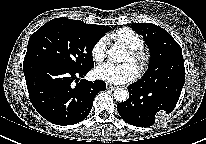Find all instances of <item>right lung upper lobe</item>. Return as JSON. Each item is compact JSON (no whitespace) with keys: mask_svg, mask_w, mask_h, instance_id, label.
Here are the masks:
<instances>
[{"mask_svg":"<svg viewBox=\"0 0 206 144\" xmlns=\"http://www.w3.org/2000/svg\"><path fill=\"white\" fill-rule=\"evenodd\" d=\"M73 20V19H72ZM96 32H99V33H102V34H105L106 32L110 31L111 30V27H108V26H104V25H91V24H86L80 20H74Z\"/></svg>","mask_w":206,"mask_h":144,"instance_id":"1","label":"right lung upper lobe"}]
</instances>
